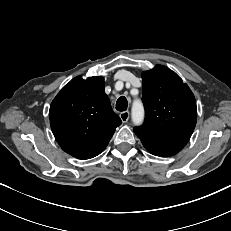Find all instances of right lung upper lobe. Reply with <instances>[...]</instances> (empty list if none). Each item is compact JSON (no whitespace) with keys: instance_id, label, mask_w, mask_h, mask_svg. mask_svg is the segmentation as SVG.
I'll return each mask as SVG.
<instances>
[{"instance_id":"1","label":"right lung upper lobe","mask_w":231,"mask_h":231,"mask_svg":"<svg viewBox=\"0 0 231 231\" xmlns=\"http://www.w3.org/2000/svg\"><path fill=\"white\" fill-rule=\"evenodd\" d=\"M49 118L60 147L82 160L100 154L122 123L104 92L102 77L71 80L52 101Z\"/></svg>"}]
</instances>
